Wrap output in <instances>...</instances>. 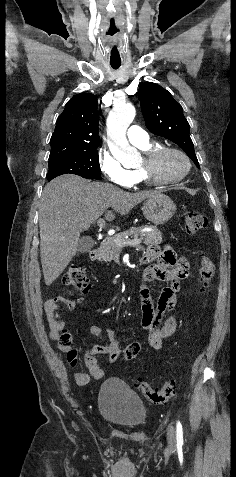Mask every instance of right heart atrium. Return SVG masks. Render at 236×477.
I'll return each instance as SVG.
<instances>
[{
    "instance_id": "right-heart-atrium-1",
    "label": "right heart atrium",
    "mask_w": 236,
    "mask_h": 477,
    "mask_svg": "<svg viewBox=\"0 0 236 477\" xmlns=\"http://www.w3.org/2000/svg\"><path fill=\"white\" fill-rule=\"evenodd\" d=\"M98 164L101 172L111 184L121 187L132 185L129 170L124 168L107 149L102 148L99 151Z\"/></svg>"
}]
</instances>
